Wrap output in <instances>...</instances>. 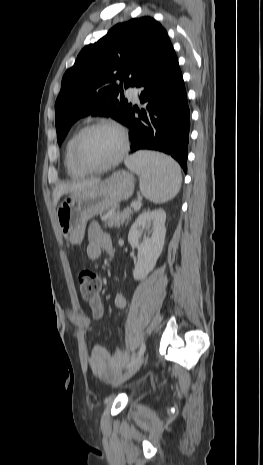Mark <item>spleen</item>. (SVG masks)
<instances>
[{"label":"spleen","instance_id":"obj_1","mask_svg":"<svg viewBox=\"0 0 263 465\" xmlns=\"http://www.w3.org/2000/svg\"><path fill=\"white\" fill-rule=\"evenodd\" d=\"M125 165L139 175L142 195L154 203L167 202L181 188L180 166L163 153L138 151L125 160Z\"/></svg>","mask_w":263,"mask_h":465}]
</instances>
